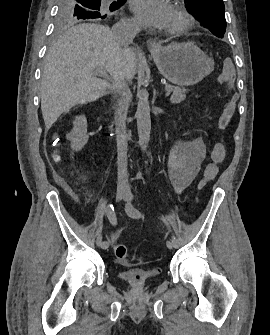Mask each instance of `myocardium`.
Listing matches in <instances>:
<instances>
[{
  "label": "myocardium",
  "instance_id": "f54148a6",
  "mask_svg": "<svg viewBox=\"0 0 270 335\" xmlns=\"http://www.w3.org/2000/svg\"><path fill=\"white\" fill-rule=\"evenodd\" d=\"M177 18H178V24L176 25L177 30L178 31L186 30L190 25V18L188 17V15L182 11H178Z\"/></svg>",
  "mask_w": 270,
  "mask_h": 335
}]
</instances>
